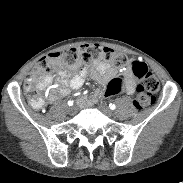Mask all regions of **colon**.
<instances>
[{
  "label": "colon",
  "instance_id": "5ec220e1",
  "mask_svg": "<svg viewBox=\"0 0 183 183\" xmlns=\"http://www.w3.org/2000/svg\"><path fill=\"white\" fill-rule=\"evenodd\" d=\"M104 61L115 68H121L128 64V57L110 48L101 47L97 44H85L78 48L67 49L62 52L50 53L42 57L31 72L30 79L25 85L26 96L34 108H40L44 104L43 97L30 85L31 80L38 74L49 71L54 66L73 67L79 63H91ZM132 70L138 78L140 84L136 88L134 105L145 108L155 102L156 94L160 90L158 79L151 73L146 64L140 61L130 62ZM125 81L121 77L113 78L106 86L105 97L114 96L122 91Z\"/></svg>",
  "mask_w": 183,
  "mask_h": 183
}]
</instances>
